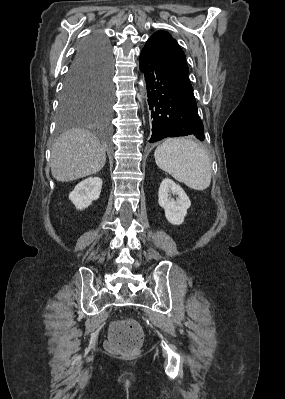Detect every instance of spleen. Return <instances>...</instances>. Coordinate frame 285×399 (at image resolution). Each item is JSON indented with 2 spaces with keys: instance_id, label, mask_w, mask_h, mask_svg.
I'll list each match as a JSON object with an SVG mask.
<instances>
[{
  "instance_id": "obj_1",
  "label": "spleen",
  "mask_w": 285,
  "mask_h": 399,
  "mask_svg": "<svg viewBox=\"0 0 285 399\" xmlns=\"http://www.w3.org/2000/svg\"><path fill=\"white\" fill-rule=\"evenodd\" d=\"M155 162L174 179L194 190H205L211 183V162L206 150L186 138L166 139L154 152Z\"/></svg>"
}]
</instances>
